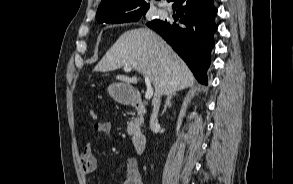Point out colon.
Masks as SVG:
<instances>
[{
  "instance_id": "colon-1",
  "label": "colon",
  "mask_w": 293,
  "mask_h": 184,
  "mask_svg": "<svg viewBox=\"0 0 293 184\" xmlns=\"http://www.w3.org/2000/svg\"><path fill=\"white\" fill-rule=\"evenodd\" d=\"M89 113H90V117H91L92 119H96L97 114H96L95 110L91 109Z\"/></svg>"
}]
</instances>
